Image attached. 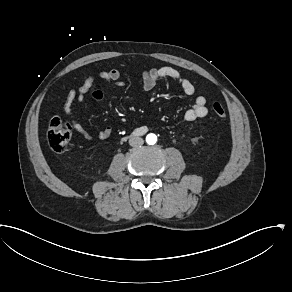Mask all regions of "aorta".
I'll use <instances>...</instances> for the list:
<instances>
[{"mask_svg":"<svg viewBox=\"0 0 292 292\" xmlns=\"http://www.w3.org/2000/svg\"><path fill=\"white\" fill-rule=\"evenodd\" d=\"M146 141L148 144L153 145L157 141V136L155 134H148L146 137Z\"/></svg>","mask_w":292,"mask_h":292,"instance_id":"aorta-1","label":"aorta"}]
</instances>
